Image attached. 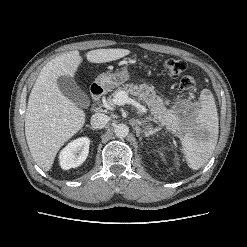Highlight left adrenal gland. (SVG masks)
I'll return each mask as SVG.
<instances>
[{
	"label": "left adrenal gland",
	"instance_id": "1",
	"mask_svg": "<svg viewBox=\"0 0 247 247\" xmlns=\"http://www.w3.org/2000/svg\"><path fill=\"white\" fill-rule=\"evenodd\" d=\"M160 130H161L160 127H156V128L150 127L147 129V131H145V136L149 137L150 135L156 134Z\"/></svg>",
	"mask_w": 247,
	"mask_h": 247
}]
</instances>
